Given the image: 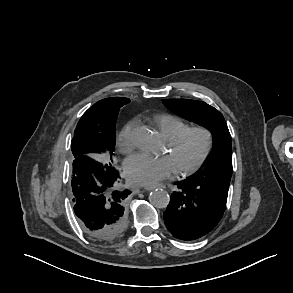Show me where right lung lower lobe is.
Listing matches in <instances>:
<instances>
[{
  "instance_id": "98d812e1",
  "label": "right lung lower lobe",
  "mask_w": 293,
  "mask_h": 293,
  "mask_svg": "<svg viewBox=\"0 0 293 293\" xmlns=\"http://www.w3.org/2000/svg\"><path fill=\"white\" fill-rule=\"evenodd\" d=\"M74 212L90 237L111 242L126 228V198L131 193L119 189L115 167L93 158L80 156L73 161L71 180Z\"/></svg>"
}]
</instances>
